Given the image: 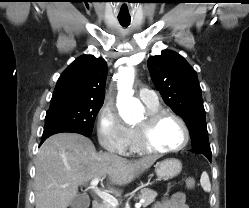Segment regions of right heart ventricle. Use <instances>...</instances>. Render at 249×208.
Segmentation results:
<instances>
[{
  "mask_svg": "<svg viewBox=\"0 0 249 208\" xmlns=\"http://www.w3.org/2000/svg\"><path fill=\"white\" fill-rule=\"evenodd\" d=\"M148 112H155L159 110V105L155 107L147 106ZM130 131V142H129V151L138 153L140 152L139 148L137 147L136 144V134H135V129L131 128L129 129Z\"/></svg>",
  "mask_w": 249,
  "mask_h": 208,
  "instance_id": "obj_1",
  "label": "right heart ventricle"
}]
</instances>
